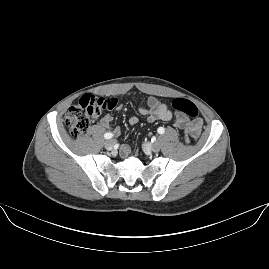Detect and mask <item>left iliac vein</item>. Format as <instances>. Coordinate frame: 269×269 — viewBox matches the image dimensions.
Listing matches in <instances>:
<instances>
[{
	"mask_svg": "<svg viewBox=\"0 0 269 269\" xmlns=\"http://www.w3.org/2000/svg\"><path fill=\"white\" fill-rule=\"evenodd\" d=\"M149 146H150L151 150H153V151L158 152L161 150V144L158 141H156L153 144H149Z\"/></svg>",
	"mask_w": 269,
	"mask_h": 269,
	"instance_id": "left-iliac-vein-1",
	"label": "left iliac vein"
}]
</instances>
